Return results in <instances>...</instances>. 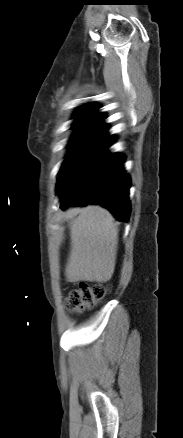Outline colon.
Instances as JSON below:
<instances>
[{"instance_id":"5ec220e1","label":"colon","mask_w":183,"mask_h":438,"mask_svg":"<svg viewBox=\"0 0 183 438\" xmlns=\"http://www.w3.org/2000/svg\"><path fill=\"white\" fill-rule=\"evenodd\" d=\"M107 292L108 289L102 284L81 283L70 292L68 305L72 311L82 312L101 301Z\"/></svg>"}]
</instances>
